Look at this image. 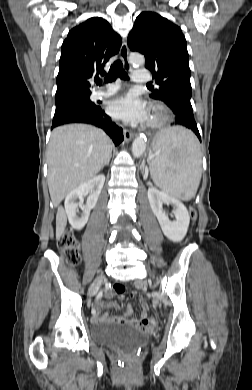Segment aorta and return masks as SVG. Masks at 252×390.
<instances>
[{
    "mask_svg": "<svg viewBox=\"0 0 252 390\" xmlns=\"http://www.w3.org/2000/svg\"><path fill=\"white\" fill-rule=\"evenodd\" d=\"M129 61L133 65H143L145 62L144 56L138 53H132L129 57ZM146 148L145 137H137L132 143V154L134 157H140Z\"/></svg>",
    "mask_w": 252,
    "mask_h": 390,
    "instance_id": "obj_1",
    "label": "aorta"
}]
</instances>
